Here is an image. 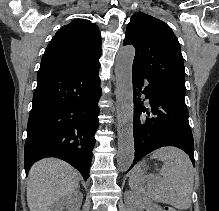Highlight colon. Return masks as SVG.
Listing matches in <instances>:
<instances>
[{
	"mask_svg": "<svg viewBox=\"0 0 219 211\" xmlns=\"http://www.w3.org/2000/svg\"><path fill=\"white\" fill-rule=\"evenodd\" d=\"M164 211H177L176 209L172 208V207H166L164 209Z\"/></svg>",
	"mask_w": 219,
	"mask_h": 211,
	"instance_id": "5ec220e1",
	"label": "colon"
}]
</instances>
